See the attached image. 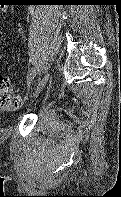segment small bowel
Here are the masks:
<instances>
[{"label": "small bowel", "mask_w": 121, "mask_h": 197, "mask_svg": "<svg viewBox=\"0 0 121 197\" xmlns=\"http://www.w3.org/2000/svg\"><path fill=\"white\" fill-rule=\"evenodd\" d=\"M3 11H5V9L3 8ZM3 56L0 54V59L2 58Z\"/></svg>", "instance_id": "1"}]
</instances>
